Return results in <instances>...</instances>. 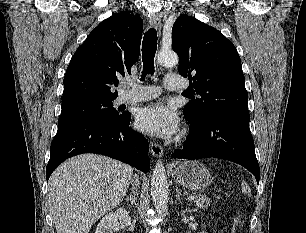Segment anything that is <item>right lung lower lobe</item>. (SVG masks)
Wrapping results in <instances>:
<instances>
[{"label":"right lung lower lobe","instance_id":"obj_1","mask_svg":"<svg viewBox=\"0 0 306 233\" xmlns=\"http://www.w3.org/2000/svg\"><path fill=\"white\" fill-rule=\"evenodd\" d=\"M130 118L131 115L125 113L117 120L88 119L58 129L50 147L47 180L63 161L82 153L109 156L146 173L150 168L148 142L128 127Z\"/></svg>","mask_w":306,"mask_h":233}]
</instances>
